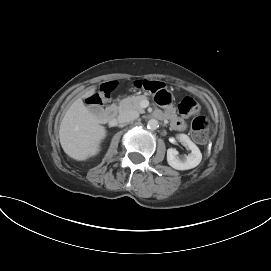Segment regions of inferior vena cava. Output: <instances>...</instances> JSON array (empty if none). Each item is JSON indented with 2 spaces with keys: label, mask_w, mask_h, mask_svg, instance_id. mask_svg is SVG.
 I'll list each match as a JSON object with an SVG mask.
<instances>
[{
  "label": "inferior vena cava",
  "mask_w": 271,
  "mask_h": 271,
  "mask_svg": "<svg viewBox=\"0 0 271 271\" xmlns=\"http://www.w3.org/2000/svg\"><path fill=\"white\" fill-rule=\"evenodd\" d=\"M139 117V114L133 110L123 111L118 116L119 123H129Z\"/></svg>",
  "instance_id": "602c4592"
}]
</instances>
